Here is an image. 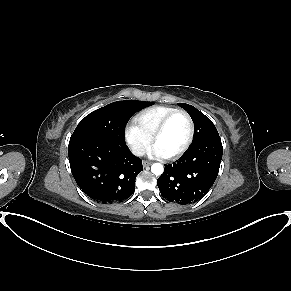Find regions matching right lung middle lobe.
I'll return each instance as SVG.
<instances>
[{"label": "right lung middle lobe", "mask_w": 291, "mask_h": 291, "mask_svg": "<svg viewBox=\"0 0 291 291\" xmlns=\"http://www.w3.org/2000/svg\"><path fill=\"white\" fill-rule=\"evenodd\" d=\"M151 102L117 101L88 114L77 125L70 141L85 138L112 140L125 143V127L138 110L151 106Z\"/></svg>", "instance_id": "1"}]
</instances>
